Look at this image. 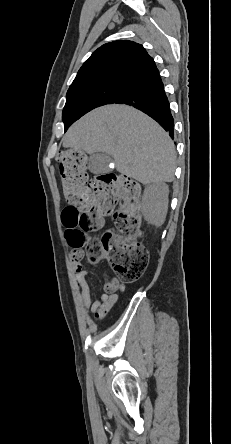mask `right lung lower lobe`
Instances as JSON below:
<instances>
[{"mask_svg":"<svg viewBox=\"0 0 231 444\" xmlns=\"http://www.w3.org/2000/svg\"><path fill=\"white\" fill-rule=\"evenodd\" d=\"M114 103L127 104L143 111L174 138V119L160 77L135 86Z\"/></svg>","mask_w":231,"mask_h":444,"instance_id":"obj_1","label":"right lung lower lobe"}]
</instances>
